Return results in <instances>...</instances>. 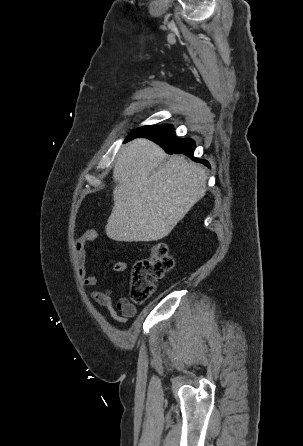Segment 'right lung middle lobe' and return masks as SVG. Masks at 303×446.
Listing matches in <instances>:
<instances>
[{
	"label": "right lung middle lobe",
	"mask_w": 303,
	"mask_h": 446,
	"mask_svg": "<svg viewBox=\"0 0 303 446\" xmlns=\"http://www.w3.org/2000/svg\"><path fill=\"white\" fill-rule=\"evenodd\" d=\"M151 127H152V126H143V127H140V128H138V129H136L135 131H133V132L127 137L126 140H130V139H132V138H134V137H136V136H138V135L144 133L145 131H147V130L150 129Z\"/></svg>",
	"instance_id": "obj_1"
}]
</instances>
